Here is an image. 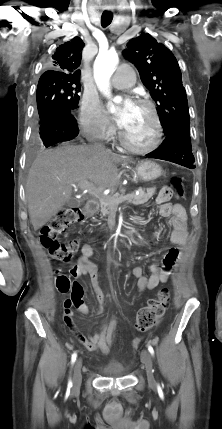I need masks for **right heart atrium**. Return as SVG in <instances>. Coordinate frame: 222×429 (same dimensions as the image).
<instances>
[{
  "mask_svg": "<svg viewBox=\"0 0 222 429\" xmlns=\"http://www.w3.org/2000/svg\"><path fill=\"white\" fill-rule=\"evenodd\" d=\"M78 114L80 128L86 136L105 139L111 134L113 127L96 96L83 94L79 102Z\"/></svg>",
  "mask_w": 222,
  "mask_h": 429,
  "instance_id": "obj_1",
  "label": "right heart atrium"
}]
</instances>
